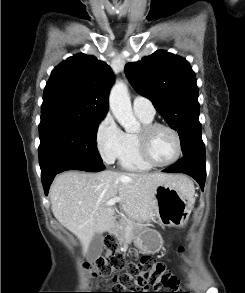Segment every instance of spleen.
<instances>
[{
    "mask_svg": "<svg viewBox=\"0 0 245 293\" xmlns=\"http://www.w3.org/2000/svg\"><path fill=\"white\" fill-rule=\"evenodd\" d=\"M190 187H191V190L193 191V193H194V187H193V185H192V183L190 182Z\"/></svg>",
    "mask_w": 245,
    "mask_h": 293,
    "instance_id": "obj_1",
    "label": "spleen"
}]
</instances>
